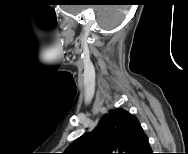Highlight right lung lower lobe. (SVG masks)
Wrapping results in <instances>:
<instances>
[{"instance_id": "right-lung-lower-lobe-1", "label": "right lung lower lobe", "mask_w": 188, "mask_h": 154, "mask_svg": "<svg viewBox=\"0 0 188 154\" xmlns=\"http://www.w3.org/2000/svg\"><path fill=\"white\" fill-rule=\"evenodd\" d=\"M145 154H152V151H151V149L150 150H148Z\"/></svg>"}]
</instances>
